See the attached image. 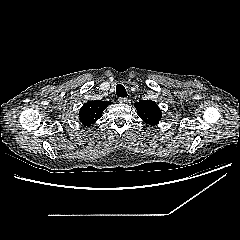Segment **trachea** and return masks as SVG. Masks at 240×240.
I'll return each instance as SVG.
<instances>
[{"label": "trachea", "mask_w": 240, "mask_h": 240, "mask_svg": "<svg viewBox=\"0 0 240 240\" xmlns=\"http://www.w3.org/2000/svg\"><path fill=\"white\" fill-rule=\"evenodd\" d=\"M116 94H117L118 97H122V98L127 97L126 89L121 84H118L116 86Z\"/></svg>", "instance_id": "1"}]
</instances>
